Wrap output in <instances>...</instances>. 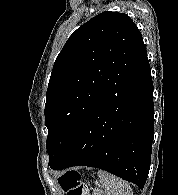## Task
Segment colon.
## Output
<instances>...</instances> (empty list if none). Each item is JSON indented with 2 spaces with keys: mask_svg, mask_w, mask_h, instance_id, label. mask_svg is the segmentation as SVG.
I'll use <instances>...</instances> for the list:
<instances>
[{
  "mask_svg": "<svg viewBox=\"0 0 178 195\" xmlns=\"http://www.w3.org/2000/svg\"><path fill=\"white\" fill-rule=\"evenodd\" d=\"M59 183L67 192V195H88L81 183L78 172H66L61 176Z\"/></svg>",
  "mask_w": 178,
  "mask_h": 195,
  "instance_id": "5ec220e1",
  "label": "colon"
}]
</instances>
